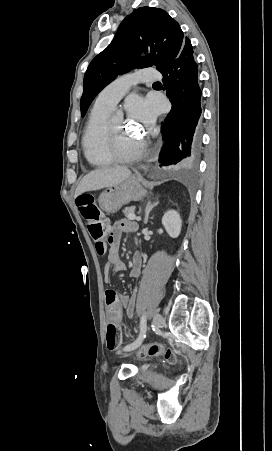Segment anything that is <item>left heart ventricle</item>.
<instances>
[{
  "mask_svg": "<svg viewBox=\"0 0 272 451\" xmlns=\"http://www.w3.org/2000/svg\"><path fill=\"white\" fill-rule=\"evenodd\" d=\"M111 127L115 139V143L120 148H126L128 145H130L135 138L131 136L128 132L124 131L125 122L122 118H115L111 120Z\"/></svg>",
  "mask_w": 272,
  "mask_h": 451,
  "instance_id": "left-heart-ventricle-1",
  "label": "left heart ventricle"
}]
</instances>
